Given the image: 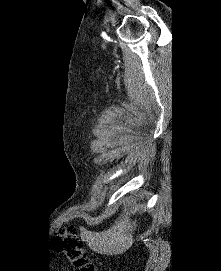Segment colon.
Returning a JSON list of instances; mask_svg holds the SVG:
<instances>
[{
  "label": "colon",
  "mask_w": 221,
  "mask_h": 271,
  "mask_svg": "<svg viewBox=\"0 0 221 271\" xmlns=\"http://www.w3.org/2000/svg\"><path fill=\"white\" fill-rule=\"evenodd\" d=\"M55 241L59 250L64 253L68 262L73 264L77 271H97V266L89 260L84 250V241L73 227L58 229Z\"/></svg>",
  "instance_id": "colon-1"
}]
</instances>
